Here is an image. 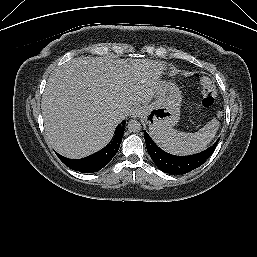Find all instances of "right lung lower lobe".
<instances>
[{
  "mask_svg": "<svg viewBox=\"0 0 257 257\" xmlns=\"http://www.w3.org/2000/svg\"><path fill=\"white\" fill-rule=\"evenodd\" d=\"M124 127L125 121L117 126L115 136L109 145L88 157L81 159H69L58 153L56 154L66 166L75 171L82 173L97 172L106 166L119 150L124 134Z\"/></svg>",
  "mask_w": 257,
  "mask_h": 257,
  "instance_id": "obj_1",
  "label": "right lung lower lobe"
}]
</instances>
